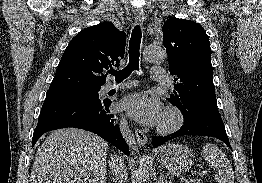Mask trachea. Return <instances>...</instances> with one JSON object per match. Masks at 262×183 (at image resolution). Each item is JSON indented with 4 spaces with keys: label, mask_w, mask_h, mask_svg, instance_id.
<instances>
[{
    "label": "trachea",
    "mask_w": 262,
    "mask_h": 183,
    "mask_svg": "<svg viewBox=\"0 0 262 183\" xmlns=\"http://www.w3.org/2000/svg\"><path fill=\"white\" fill-rule=\"evenodd\" d=\"M142 32L139 25L133 29L130 42H129V63L122 70H111L110 74L115 76L116 82H122L126 79L134 70H139V57H140V44H141Z\"/></svg>",
    "instance_id": "3493384b"
}]
</instances>
